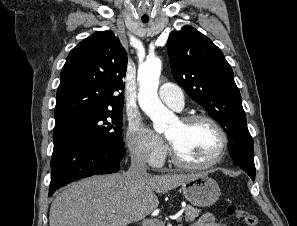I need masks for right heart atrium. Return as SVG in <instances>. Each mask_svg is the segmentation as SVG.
<instances>
[{"mask_svg":"<svg viewBox=\"0 0 297 226\" xmlns=\"http://www.w3.org/2000/svg\"><path fill=\"white\" fill-rule=\"evenodd\" d=\"M125 141L131 157L141 164L157 166L164 158L165 147L161 139L137 117L131 119Z\"/></svg>","mask_w":297,"mask_h":226,"instance_id":"d8ad5b80","label":"right heart atrium"}]
</instances>
